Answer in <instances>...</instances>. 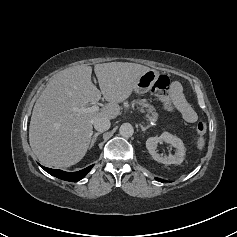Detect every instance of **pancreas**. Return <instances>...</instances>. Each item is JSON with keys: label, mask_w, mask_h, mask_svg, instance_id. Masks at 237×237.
Masks as SVG:
<instances>
[{"label": "pancreas", "mask_w": 237, "mask_h": 237, "mask_svg": "<svg viewBox=\"0 0 237 237\" xmlns=\"http://www.w3.org/2000/svg\"><path fill=\"white\" fill-rule=\"evenodd\" d=\"M131 105L133 107L138 105L141 111L146 113V117L149 121L155 122L158 119V113L155 111V108L147 102L146 99L133 100Z\"/></svg>", "instance_id": "pancreas-1"}]
</instances>
